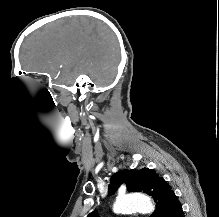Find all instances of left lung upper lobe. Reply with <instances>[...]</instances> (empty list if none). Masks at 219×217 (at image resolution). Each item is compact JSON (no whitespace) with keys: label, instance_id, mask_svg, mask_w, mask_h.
<instances>
[{"label":"left lung upper lobe","instance_id":"obj_1","mask_svg":"<svg viewBox=\"0 0 219 217\" xmlns=\"http://www.w3.org/2000/svg\"><path fill=\"white\" fill-rule=\"evenodd\" d=\"M122 183L129 192H143L153 197L156 210L150 217H170L175 205L180 203L171 186L149 168L115 173L110 180L109 194L112 195ZM87 217H98V213L93 211Z\"/></svg>","mask_w":219,"mask_h":217}]
</instances>
